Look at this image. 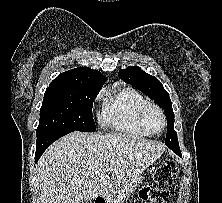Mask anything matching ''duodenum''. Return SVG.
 Here are the masks:
<instances>
[{"label": "duodenum", "mask_w": 222, "mask_h": 203, "mask_svg": "<svg viewBox=\"0 0 222 203\" xmlns=\"http://www.w3.org/2000/svg\"><path fill=\"white\" fill-rule=\"evenodd\" d=\"M97 203H104V201H103V200H101V201H97Z\"/></svg>", "instance_id": "1"}]
</instances>
